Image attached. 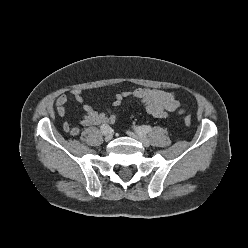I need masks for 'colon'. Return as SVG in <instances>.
Wrapping results in <instances>:
<instances>
[{
	"label": "colon",
	"instance_id": "1",
	"mask_svg": "<svg viewBox=\"0 0 248 248\" xmlns=\"http://www.w3.org/2000/svg\"><path fill=\"white\" fill-rule=\"evenodd\" d=\"M184 123L187 126H190L191 125V118H190V116L187 115V116L184 117Z\"/></svg>",
	"mask_w": 248,
	"mask_h": 248
}]
</instances>
